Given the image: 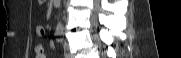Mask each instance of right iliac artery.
I'll return each mask as SVG.
<instances>
[{
  "instance_id": "82829eb1",
  "label": "right iliac artery",
  "mask_w": 181,
  "mask_h": 58,
  "mask_svg": "<svg viewBox=\"0 0 181 58\" xmlns=\"http://www.w3.org/2000/svg\"><path fill=\"white\" fill-rule=\"evenodd\" d=\"M57 41L60 42L62 39H61V34H57Z\"/></svg>"
}]
</instances>
